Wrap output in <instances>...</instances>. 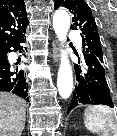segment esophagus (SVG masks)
Returning <instances> with one entry per match:
<instances>
[{
    "instance_id": "1",
    "label": "esophagus",
    "mask_w": 117,
    "mask_h": 136,
    "mask_svg": "<svg viewBox=\"0 0 117 136\" xmlns=\"http://www.w3.org/2000/svg\"><path fill=\"white\" fill-rule=\"evenodd\" d=\"M52 57L54 62H57L59 59V49H58V43L56 40L53 41Z\"/></svg>"
}]
</instances>
